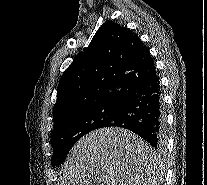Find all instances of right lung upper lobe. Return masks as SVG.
Returning a JSON list of instances; mask_svg holds the SVG:
<instances>
[{"instance_id": "obj_1", "label": "right lung upper lobe", "mask_w": 207, "mask_h": 185, "mask_svg": "<svg viewBox=\"0 0 207 185\" xmlns=\"http://www.w3.org/2000/svg\"><path fill=\"white\" fill-rule=\"evenodd\" d=\"M155 75L154 62L139 37L106 21L60 78L55 124L88 109L120 103L132 87Z\"/></svg>"}]
</instances>
